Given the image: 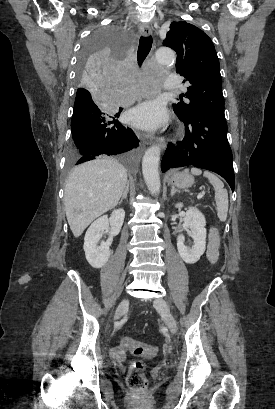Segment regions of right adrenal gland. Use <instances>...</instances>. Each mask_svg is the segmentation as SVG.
<instances>
[{"instance_id":"2a0ac1e0","label":"right adrenal gland","mask_w":275,"mask_h":409,"mask_svg":"<svg viewBox=\"0 0 275 409\" xmlns=\"http://www.w3.org/2000/svg\"><path fill=\"white\" fill-rule=\"evenodd\" d=\"M128 192H129V182H127V184H126V186L124 188V192L122 194V198H121V200L119 202V205H121V202H123V198H127Z\"/></svg>"}]
</instances>
